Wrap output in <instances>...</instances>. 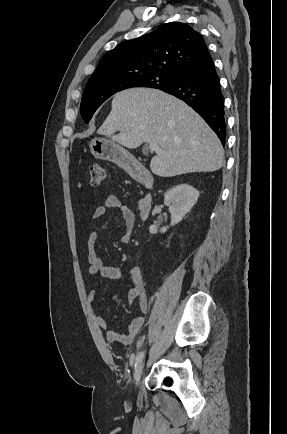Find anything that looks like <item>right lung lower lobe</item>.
I'll list each match as a JSON object with an SVG mask.
<instances>
[{
  "mask_svg": "<svg viewBox=\"0 0 287 434\" xmlns=\"http://www.w3.org/2000/svg\"><path fill=\"white\" fill-rule=\"evenodd\" d=\"M163 91L185 101L207 122L222 144L226 140L223 95L210 55L182 70L174 84Z\"/></svg>",
  "mask_w": 287,
  "mask_h": 434,
  "instance_id": "obj_1",
  "label": "right lung lower lobe"
}]
</instances>
